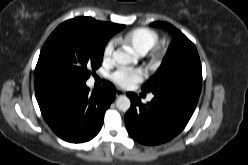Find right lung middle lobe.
<instances>
[{"instance_id": "1", "label": "right lung middle lobe", "mask_w": 248, "mask_h": 165, "mask_svg": "<svg viewBox=\"0 0 248 165\" xmlns=\"http://www.w3.org/2000/svg\"><path fill=\"white\" fill-rule=\"evenodd\" d=\"M109 38L62 23L48 37L40 52L34 80L68 86L85 85L90 70L102 64Z\"/></svg>"}]
</instances>
